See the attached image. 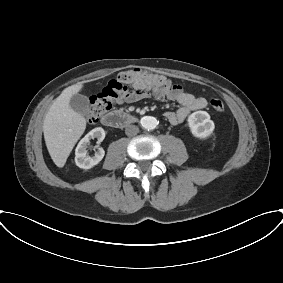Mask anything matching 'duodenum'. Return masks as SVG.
<instances>
[{"mask_svg":"<svg viewBox=\"0 0 283 283\" xmlns=\"http://www.w3.org/2000/svg\"><path fill=\"white\" fill-rule=\"evenodd\" d=\"M102 123L108 127H124L137 122V117L122 111L113 110L106 113L102 119Z\"/></svg>","mask_w":283,"mask_h":283,"instance_id":"duodenum-1","label":"duodenum"}]
</instances>
